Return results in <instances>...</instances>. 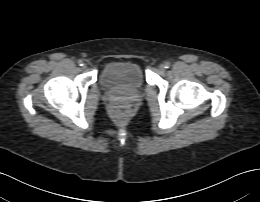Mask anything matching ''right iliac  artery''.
<instances>
[{
  "mask_svg": "<svg viewBox=\"0 0 260 202\" xmlns=\"http://www.w3.org/2000/svg\"><path fill=\"white\" fill-rule=\"evenodd\" d=\"M78 65L82 66L83 65V61L82 60H78Z\"/></svg>",
  "mask_w": 260,
  "mask_h": 202,
  "instance_id": "right-iliac-artery-1",
  "label": "right iliac artery"
}]
</instances>
